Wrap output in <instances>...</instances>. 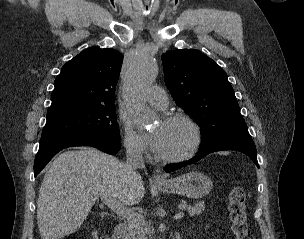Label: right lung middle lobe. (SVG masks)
Listing matches in <instances>:
<instances>
[{"mask_svg": "<svg viewBox=\"0 0 304 239\" xmlns=\"http://www.w3.org/2000/svg\"><path fill=\"white\" fill-rule=\"evenodd\" d=\"M46 118L41 137L82 134L120 141L114 105L68 109L47 114Z\"/></svg>", "mask_w": 304, "mask_h": 239, "instance_id": "dd1d6c3e", "label": "right lung middle lobe"}]
</instances>
